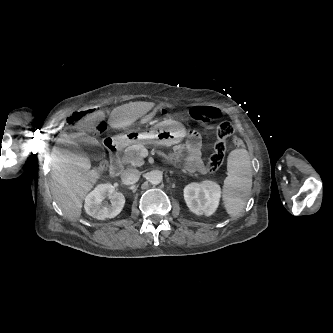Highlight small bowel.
<instances>
[{
	"instance_id": "1",
	"label": "small bowel",
	"mask_w": 333,
	"mask_h": 333,
	"mask_svg": "<svg viewBox=\"0 0 333 333\" xmlns=\"http://www.w3.org/2000/svg\"><path fill=\"white\" fill-rule=\"evenodd\" d=\"M163 111L162 105H156L153 110L139 118L140 124L150 122L156 114ZM176 160L192 173H204L206 168L201 156V145L197 138H190L185 144L178 145L174 149Z\"/></svg>"
}]
</instances>
